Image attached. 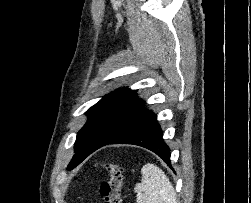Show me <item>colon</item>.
<instances>
[{"mask_svg":"<svg viewBox=\"0 0 251 203\" xmlns=\"http://www.w3.org/2000/svg\"><path fill=\"white\" fill-rule=\"evenodd\" d=\"M100 166L108 174V178L99 184V192L103 198V203H121L122 166L116 162H103Z\"/></svg>","mask_w":251,"mask_h":203,"instance_id":"colon-1","label":"colon"}]
</instances>
